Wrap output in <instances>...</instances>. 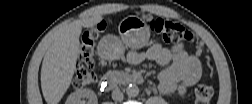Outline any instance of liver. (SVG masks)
Masks as SVG:
<instances>
[{"mask_svg":"<svg viewBox=\"0 0 252 104\" xmlns=\"http://www.w3.org/2000/svg\"><path fill=\"white\" fill-rule=\"evenodd\" d=\"M101 20V15H94L75 20L56 31L41 68V89L47 103H59L71 84L76 70L82 28L93 27Z\"/></svg>","mask_w":252,"mask_h":104,"instance_id":"6515ba94","label":"liver"}]
</instances>
